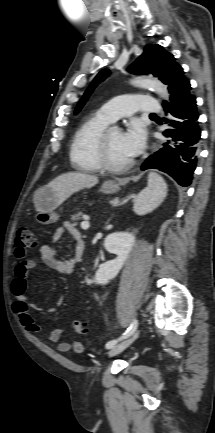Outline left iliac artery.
I'll list each match as a JSON object with an SVG mask.
<instances>
[{"mask_svg": "<svg viewBox=\"0 0 215 433\" xmlns=\"http://www.w3.org/2000/svg\"><path fill=\"white\" fill-rule=\"evenodd\" d=\"M138 322L136 319L133 320V322L131 323V325L129 326V328L122 334L121 337H119L118 339L109 341L106 344V348L110 349L112 347H114L119 341L128 338L137 328Z\"/></svg>", "mask_w": 215, "mask_h": 433, "instance_id": "left-iliac-artery-1", "label": "left iliac artery"}]
</instances>
